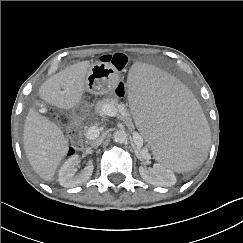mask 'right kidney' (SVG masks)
I'll use <instances>...</instances> for the list:
<instances>
[{"label": "right kidney", "mask_w": 243, "mask_h": 243, "mask_svg": "<svg viewBox=\"0 0 243 243\" xmlns=\"http://www.w3.org/2000/svg\"><path fill=\"white\" fill-rule=\"evenodd\" d=\"M79 163V156H71L60 168L58 181L61 186L71 188L85 183L92 175L94 166L91 162L84 170L76 175V165Z\"/></svg>", "instance_id": "1"}]
</instances>
